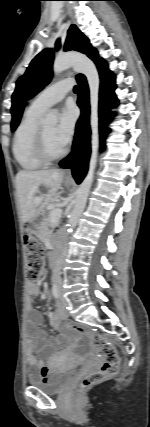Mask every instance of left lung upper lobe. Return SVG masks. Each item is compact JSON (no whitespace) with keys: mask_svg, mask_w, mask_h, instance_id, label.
<instances>
[{"mask_svg":"<svg viewBox=\"0 0 150 427\" xmlns=\"http://www.w3.org/2000/svg\"><path fill=\"white\" fill-rule=\"evenodd\" d=\"M59 48L60 40H57L56 50H59ZM64 50L80 51L87 54L94 62L100 59L98 52L91 46L88 38L75 25H72L68 30ZM53 59L54 51L50 48L44 49L32 60L25 74L18 79L16 89L12 95V131L16 129L20 122L25 102L50 82ZM81 77H83L82 74L77 75V78Z\"/></svg>","mask_w":150,"mask_h":427,"instance_id":"obj_1","label":"left lung upper lobe"}]
</instances>
